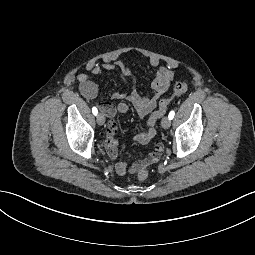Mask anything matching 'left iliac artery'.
Masks as SVG:
<instances>
[{
	"label": "left iliac artery",
	"mask_w": 255,
	"mask_h": 255,
	"mask_svg": "<svg viewBox=\"0 0 255 255\" xmlns=\"http://www.w3.org/2000/svg\"><path fill=\"white\" fill-rule=\"evenodd\" d=\"M174 115H175L174 111H171L168 115L169 119L172 120L174 118Z\"/></svg>",
	"instance_id": "1"
}]
</instances>
